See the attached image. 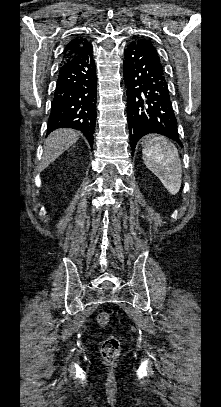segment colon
Returning a JSON list of instances; mask_svg holds the SVG:
<instances>
[{
    "label": "colon",
    "mask_w": 221,
    "mask_h": 407,
    "mask_svg": "<svg viewBox=\"0 0 221 407\" xmlns=\"http://www.w3.org/2000/svg\"><path fill=\"white\" fill-rule=\"evenodd\" d=\"M98 322L102 327L109 324V315L106 312H101L98 315ZM120 349V339L117 336L111 335L105 338L101 345V355L107 363H113L117 358Z\"/></svg>",
    "instance_id": "obj_1"
}]
</instances>
